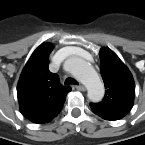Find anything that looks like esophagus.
Returning <instances> with one entry per match:
<instances>
[{
  "mask_svg": "<svg viewBox=\"0 0 145 145\" xmlns=\"http://www.w3.org/2000/svg\"><path fill=\"white\" fill-rule=\"evenodd\" d=\"M76 89L79 90V91H85L86 90V88L83 85H81V84L77 85Z\"/></svg>",
  "mask_w": 145,
  "mask_h": 145,
  "instance_id": "obj_1",
  "label": "esophagus"
}]
</instances>
